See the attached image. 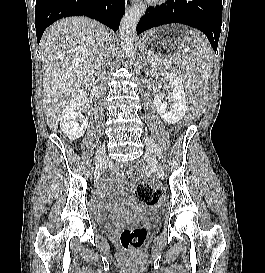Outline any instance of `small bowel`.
Segmentation results:
<instances>
[{"mask_svg":"<svg viewBox=\"0 0 265 273\" xmlns=\"http://www.w3.org/2000/svg\"><path fill=\"white\" fill-rule=\"evenodd\" d=\"M96 203H97L98 206H103L104 205V200H103L102 195H98L96 197Z\"/></svg>","mask_w":265,"mask_h":273,"instance_id":"small-bowel-1","label":"small bowel"}]
</instances>
